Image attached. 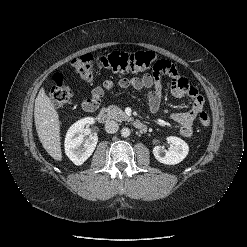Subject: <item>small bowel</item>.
<instances>
[{
	"label": "small bowel",
	"instance_id": "1",
	"mask_svg": "<svg viewBox=\"0 0 247 247\" xmlns=\"http://www.w3.org/2000/svg\"><path fill=\"white\" fill-rule=\"evenodd\" d=\"M171 77V93L177 98L188 96L192 99V106L187 111L172 112L171 118L180 125V134L183 137H190L193 134V123L197 115L203 110L204 98L196 88L190 85L189 81L178 74L174 66L166 72ZM118 85L122 88H133L137 91H145L149 108L157 112L161 107L162 84L158 75L144 74L141 77L122 79ZM115 83L106 80L103 88L93 89L91 96L82 102L84 110L92 112L96 110L101 102L105 90H112Z\"/></svg>",
	"mask_w": 247,
	"mask_h": 247
}]
</instances>
